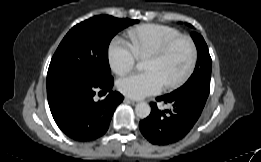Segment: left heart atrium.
Instances as JSON below:
<instances>
[{
  "mask_svg": "<svg viewBox=\"0 0 261 162\" xmlns=\"http://www.w3.org/2000/svg\"><path fill=\"white\" fill-rule=\"evenodd\" d=\"M164 86V81L156 70L125 75L117 81L118 90L135 99L158 94Z\"/></svg>",
  "mask_w": 261,
  "mask_h": 162,
  "instance_id": "obj_1",
  "label": "left heart atrium"
}]
</instances>
